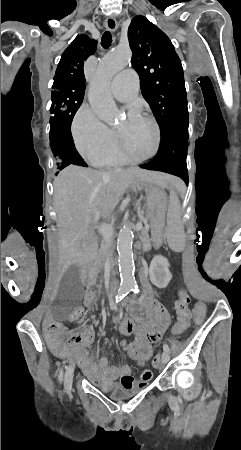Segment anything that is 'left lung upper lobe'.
<instances>
[{
	"instance_id": "5c2ea615",
	"label": "left lung upper lobe",
	"mask_w": 241,
	"mask_h": 450,
	"mask_svg": "<svg viewBox=\"0 0 241 450\" xmlns=\"http://www.w3.org/2000/svg\"><path fill=\"white\" fill-rule=\"evenodd\" d=\"M128 39L142 95L162 130L177 116L188 113L181 61L169 38L141 15L132 19Z\"/></svg>"
}]
</instances>
